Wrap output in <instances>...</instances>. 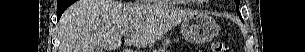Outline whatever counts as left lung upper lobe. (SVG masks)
I'll return each mask as SVG.
<instances>
[{"label": "left lung upper lobe", "mask_w": 305, "mask_h": 52, "mask_svg": "<svg viewBox=\"0 0 305 52\" xmlns=\"http://www.w3.org/2000/svg\"><path fill=\"white\" fill-rule=\"evenodd\" d=\"M238 7H239V0L236 1V8H237V11L239 12ZM240 17H241V15H240Z\"/></svg>", "instance_id": "5c2ea615"}]
</instances>
